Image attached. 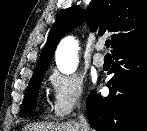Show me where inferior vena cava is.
I'll use <instances>...</instances> for the list:
<instances>
[{
    "label": "inferior vena cava",
    "instance_id": "1",
    "mask_svg": "<svg viewBox=\"0 0 147 131\" xmlns=\"http://www.w3.org/2000/svg\"><path fill=\"white\" fill-rule=\"evenodd\" d=\"M78 120H79V125L81 127V131H90V127L87 123V120L82 113L79 114Z\"/></svg>",
    "mask_w": 147,
    "mask_h": 131
}]
</instances>
